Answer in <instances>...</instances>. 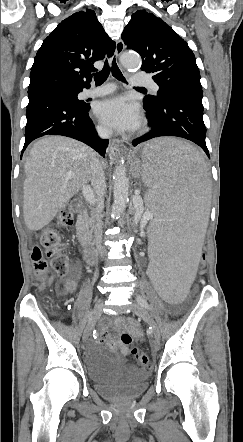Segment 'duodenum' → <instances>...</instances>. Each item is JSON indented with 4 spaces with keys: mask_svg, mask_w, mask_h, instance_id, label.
<instances>
[{
    "mask_svg": "<svg viewBox=\"0 0 243 442\" xmlns=\"http://www.w3.org/2000/svg\"><path fill=\"white\" fill-rule=\"evenodd\" d=\"M76 211L79 213L78 223L81 225L87 218V214L81 203H76ZM83 258L84 261L88 264H92L96 262V254L92 247L85 246L83 250Z\"/></svg>",
    "mask_w": 243,
    "mask_h": 442,
    "instance_id": "obj_1",
    "label": "duodenum"
}]
</instances>
